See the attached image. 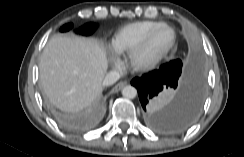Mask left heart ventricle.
<instances>
[{
	"label": "left heart ventricle",
	"mask_w": 244,
	"mask_h": 157,
	"mask_svg": "<svg viewBox=\"0 0 244 157\" xmlns=\"http://www.w3.org/2000/svg\"><path fill=\"white\" fill-rule=\"evenodd\" d=\"M172 38V32L168 29L160 30L155 36L151 39L149 45L147 46L143 57L149 58L159 50H161L164 46H166Z\"/></svg>",
	"instance_id": "1"
}]
</instances>
